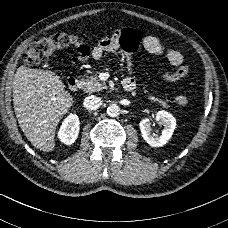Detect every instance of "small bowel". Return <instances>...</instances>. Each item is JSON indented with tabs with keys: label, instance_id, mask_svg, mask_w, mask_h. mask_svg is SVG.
Returning a JSON list of instances; mask_svg holds the SVG:
<instances>
[{
	"label": "small bowel",
	"instance_id": "small-bowel-1",
	"mask_svg": "<svg viewBox=\"0 0 228 228\" xmlns=\"http://www.w3.org/2000/svg\"><path fill=\"white\" fill-rule=\"evenodd\" d=\"M145 50L155 56L165 58L172 66L178 67L174 71L162 73V78L168 82H174L181 77L179 71L187 72L186 67L181 66L184 58L181 52L173 48H167L161 44L158 38L148 36L143 40ZM142 46V33L136 27L124 28L117 31L110 38L101 39L89 52H83L78 56L79 61H86L90 56L100 59L105 52L115 53L118 49L123 52L127 65L131 66V56L134 55ZM128 78V77H126ZM125 78V79H126ZM133 78V77H131ZM124 79V80H125ZM133 80H135L133 78Z\"/></svg>",
	"mask_w": 228,
	"mask_h": 228
}]
</instances>
